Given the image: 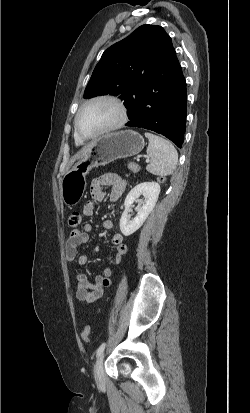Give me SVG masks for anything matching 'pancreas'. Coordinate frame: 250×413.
Returning a JSON list of instances; mask_svg holds the SVG:
<instances>
[{
  "label": "pancreas",
  "instance_id": "1",
  "mask_svg": "<svg viewBox=\"0 0 250 413\" xmlns=\"http://www.w3.org/2000/svg\"><path fill=\"white\" fill-rule=\"evenodd\" d=\"M132 171L137 172L139 170V167L137 165L133 166L130 168Z\"/></svg>",
  "mask_w": 250,
  "mask_h": 413
}]
</instances>
